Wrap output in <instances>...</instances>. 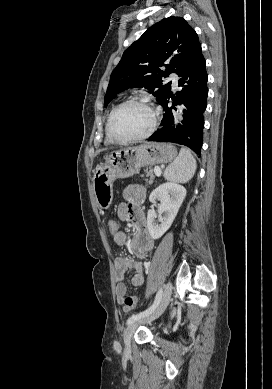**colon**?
Segmentation results:
<instances>
[{
    "label": "colon",
    "instance_id": "colon-1",
    "mask_svg": "<svg viewBox=\"0 0 272 389\" xmlns=\"http://www.w3.org/2000/svg\"><path fill=\"white\" fill-rule=\"evenodd\" d=\"M108 229L109 232L114 236L116 233H118L119 230V222L116 219H110L108 221ZM124 305L128 307L129 309H135L138 306V300L135 296H127L124 299Z\"/></svg>",
    "mask_w": 272,
    "mask_h": 389
}]
</instances>
